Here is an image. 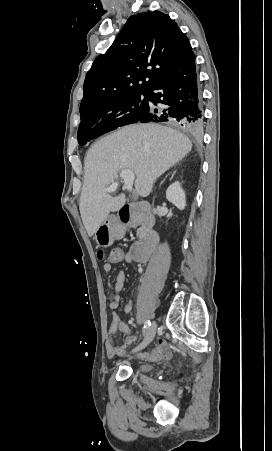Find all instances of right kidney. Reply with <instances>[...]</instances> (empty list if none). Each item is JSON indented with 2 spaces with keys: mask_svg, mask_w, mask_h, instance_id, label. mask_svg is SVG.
<instances>
[{
  "mask_svg": "<svg viewBox=\"0 0 272 451\" xmlns=\"http://www.w3.org/2000/svg\"><path fill=\"white\" fill-rule=\"evenodd\" d=\"M166 198L168 202L174 204L176 208H179V210H184L186 206V196L183 188H181L180 182H174V184H171V186L167 188Z\"/></svg>",
  "mask_w": 272,
  "mask_h": 451,
  "instance_id": "right-kidney-1",
  "label": "right kidney"
}]
</instances>
